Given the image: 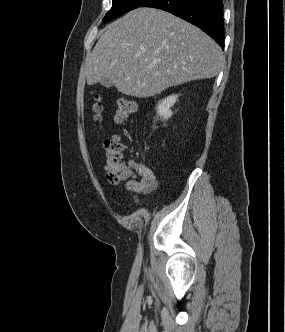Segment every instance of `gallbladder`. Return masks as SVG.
Listing matches in <instances>:
<instances>
[{
	"label": "gallbladder",
	"mask_w": 285,
	"mask_h": 332,
	"mask_svg": "<svg viewBox=\"0 0 285 332\" xmlns=\"http://www.w3.org/2000/svg\"><path fill=\"white\" fill-rule=\"evenodd\" d=\"M100 83H101V85L102 86H104V87H106V88H110V87H112L113 86V84H112V82L109 80V79H102L101 81H100Z\"/></svg>",
	"instance_id": "bac80fb5"
}]
</instances>
